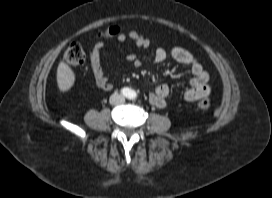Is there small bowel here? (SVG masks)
<instances>
[{
    "label": "small bowel",
    "mask_w": 272,
    "mask_h": 198,
    "mask_svg": "<svg viewBox=\"0 0 272 198\" xmlns=\"http://www.w3.org/2000/svg\"><path fill=\"white\" fill-rule=\"evenodd\" d=\"M128 39L138 48L147 49L150 47V41L136 31H130L127 35H119L117 38L119 42H125ZM102 48V43H96L90 48V70L97 88L102 91H109L113 88V82L101 66ZM167 58H171L179 64L186 65L191 70L192 78L189 81V87L184 93L186 101L195 102L209 95V74L189 51L181 47H174L169 51L164 48H157L155 50V62L161 63ZM125 61L134 68L141 66V60L134 54H128L125 57ZM169 92L170 90L167 85H159L149 97L150 104L157 108H166L168 106L167 97Z\"/></svg>",
    "instance_id": "1"
}]
</instances>
